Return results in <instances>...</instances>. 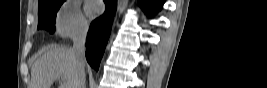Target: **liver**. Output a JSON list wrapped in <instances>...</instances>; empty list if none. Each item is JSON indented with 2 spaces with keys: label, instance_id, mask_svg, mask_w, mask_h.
Masks as SVG:
<instances>
[{
  "label": "liver",
  "instance_id": "1",
  "mask_svg": "<svg viewBox=\"0 0 267 88\" xmlns=\"http://www.w3.org/2000/svg\"><path fill=\"white\" fill-rule=\"evenodd\" d=\"M59 76L65 77L59 88H75L77 66L71 48H53L39 57L31 69V88H51Z\"/></svg>",
  "mask_w": 267,
  "mask_h": 88
}]
</instances>
